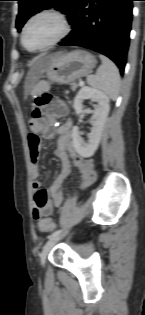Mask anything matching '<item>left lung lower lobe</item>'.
I'll return each instance as SVG.
<instances>
[{"label":"left lung lower lobe","mask_w":145,"mask_h":315,"mask_svg":"<svg viewBox=\"0 0 145 315\" xmlns=\"http://www.w3.org/2000/svg\"><path fill=\"white\" fill-rule=\"evenodd\" d=\"M134 0H77L69 16L73 30L59 45L99 52L124 73L130 42Z\"/></svg>","instance_id":"left-lung-lower-lobe-1"}]
</instances>
